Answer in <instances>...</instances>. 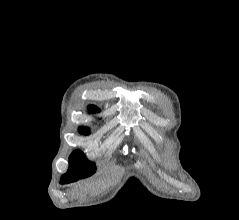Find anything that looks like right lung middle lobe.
<instances>
[{
  "instance_id": "obj_1",
  "label": "right lung middle lobe",
  "mask_w": 239,
  "mask_h": 220,
  "mask_svg": "<svg viewBox=\"0 0 239 220\" xmlns=\"http://www.w3.org/2000/svg\"><path fill=\"white\" fill-rule=\"evenodd\" d=\"M80 133L87 135L89 131L80 129ZM95 171V164L88 161L82 151L76 150L70 156L69 169L62 175L60 183H70L78 179L89 177L94 174Z\"/></svg>"
}]
</instances>
